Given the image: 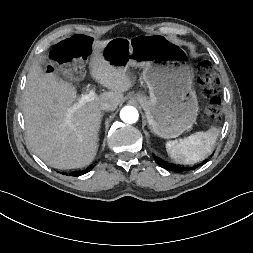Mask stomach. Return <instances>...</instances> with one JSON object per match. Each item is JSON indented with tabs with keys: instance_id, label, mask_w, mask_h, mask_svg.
I'll list each match as a JSON object with an SVG mask.
<instances>
[{
	"instance_id": "stomach-1",
	"label": "stomach",
	"mask_w": 253,
	"mask_h": 253,
	"mask_svg": "<svg viewBox=\"0 0 253 253\" xmlns=\"http://www.w3.org/2000/svg\"><path fill=\"white\" fill-rule=\"evenodd\" d=\"M102 54L114 66L143 68L149 96L136 93L133 97L144 109L154 134L171 139L192 128L199 108L192 85L193 68L181 47L161 35L116 37L109 40Z\"/></svg>"
}]
</instances>
